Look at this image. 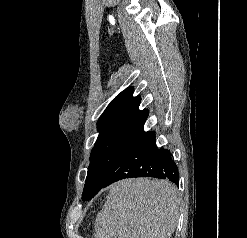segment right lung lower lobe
Here are the masks:
<instances>
[{
  "mask_svg": "<svg viewBox=\"0 0 247 238\" xmlns=\"http://www.w3.org/2000/svg\"><path fill=\"white\" fill-rule=\"evenodd\" d=\"M130 177L168 179L178 185L179 174L176 164L168 150L157 148L153 131H141L115 164L103 187Z\"/></svg>",
  "mask_w": 247,
  "mask_h": 238,
  "instance_id": "right-lung-lower-lobe-1",
  "label": "right lung lower lobe"
}]
</instances>
